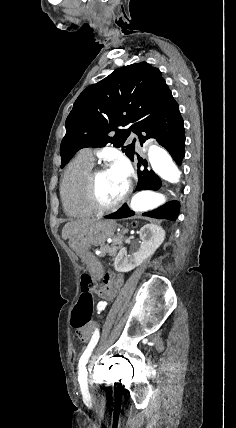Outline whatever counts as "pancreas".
Segmentation results:
<instances>
[{
    "mask_svg": "<svg viewBox=\"0 0 236 428\" xmlns=\"http://www.w3.org/2000/svg\"><path fill=\"white\" fill-rule=\"evenodd\" d=\"M123 236H121V234H119V236H115V238H113V242L112 244H110V246H101L100 248V256H102V258H104V256H106V254H108V256H116V252L117 250H119V248H121V246H118V242H121Z\"/></svg>",
    "mask_w": 236,
    "mask_h": 428,
    "instance_id": "pancreas-1",
    "label": "pancreas"
}]
</instances>
